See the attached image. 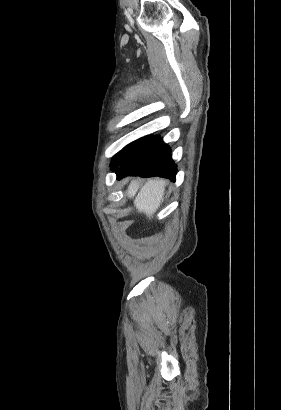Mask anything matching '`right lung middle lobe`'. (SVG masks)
Returning a JSON list of instances; mask_svg holds the SVG:
<instances>
[{
  "instance_id": "obj_1",
  "label": "right lung middle lobe",
  "mask_w": 281,
  "mask_h": 410,
  "mask_svg": "<svg viewBox=\"0 0 281 410\" xmlns=\"http://www.w3.org/2000/svg\"><path fill=\"white\" fill-rule=\"evenodd\" d=\"M146 137L140 138L130 144H128L126 147L123 148L122 151H119L116 156L112 159L111 162V169L115 170L124 160L125 158L129 155L131 150L138 145L141 141H143Z\"/></svg>"
}]
</instances>
